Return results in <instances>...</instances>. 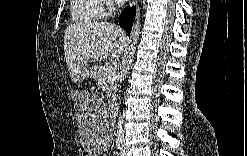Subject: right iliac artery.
Returning <instances> with one entry per match:
<instances>
[{
	"mask_svg": "<svg viewBox=\"0 0 247 156\" xmlns=\"http://www.w3.org/2000/svg\"><path fill=\"white\" fill-rule=\"evenodd\" d=\"M116 143H117L116 144L117 145V148L120 149V138L119 137L117 138V142Z\"/></svg>",
	"mask_w": 247,
	"mask_h": 156,
	"instance_id": "1",
	"label": "right iliac artery"
}]
</instances>
